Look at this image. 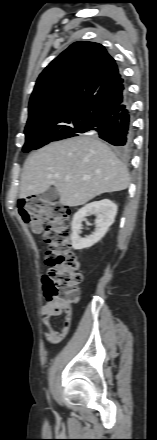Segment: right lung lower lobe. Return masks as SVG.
<instances>
[{
  "instance_id": "1",
  "label": "right lung lower lobe",
  "mask_w": 157,
  "mask_h": 440,
  "mask_svg": "<svg viewBox=\"0 0 157 440\" xmlns=\"http://www.w3.org/2000/svg\"><path fill=\"white\" fill-rule=\"evenodd\" d=\"M83 131L96 132L101 139L118 147V149L129 150L132 144L133 130L127 93L120 105L85 123Z\"/></svg>"
}]
</instances>
